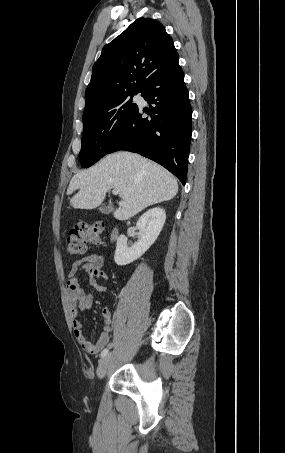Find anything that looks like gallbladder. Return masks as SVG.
Returning <instances> with one entry per match:
<instances>
[{"label":"gallbladder","mask_w":285,"mask_h":453,"mask_svg":"<svg viewBox=\"0 0 285 453\" xmlns=\"http://www.w3.org/2000/svg\"><path fill=\"white\" fill-rule=\"evenodd\" d=\"M111 210H112V208L109 207V206H101V207L99 208V211H100L101 213H108V212H110Z\"/></svg>","instance_id":"bac80fb5"}]
</instances>
